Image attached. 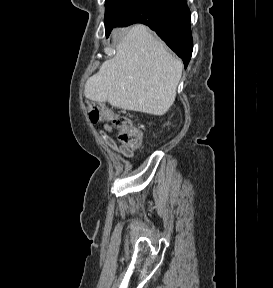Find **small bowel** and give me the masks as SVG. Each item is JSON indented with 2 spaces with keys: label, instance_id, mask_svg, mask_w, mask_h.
<instances>
[{
  "label": "small bowel",
  "instance_id": "small-bowel-1",
  "mask_svg": "<svg viewBox=\"0 0 273 288\" xmlns=\"http://www.w3.org/2000/svg\"><path fill=\"white\" fill-rule=\"evenodd\" d=\"M107 142H108L110 147H112L113 149H117L116 145L114 144V142L110 138H107ZM118 150L121 152V154H123L126 157H130L132 155V152L129 149L120 148Z\"/></svg>",
  "mask_w": 273,
  "mask_h": 288
}]
</instances>
